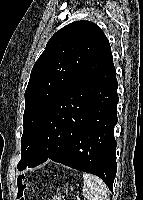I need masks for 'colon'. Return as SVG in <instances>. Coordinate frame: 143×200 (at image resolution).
<instances>
[{
  "mask_svg": "<svg viewBox=\"0 0 143 200\" xmlns=\"http://www.w3.org/2000/svg\"><path fill=\"white\" fill-rule=\"evenodd\" d=\"M17 195L19 196V200H25L24 198V192L27 189V177L25 175H20L17 177Z\"/></svg>",
  "mask_w": 143,
  "mask_h": 200,
  "instance_id": "1",
  "label": "colon"
}]
</instances>
